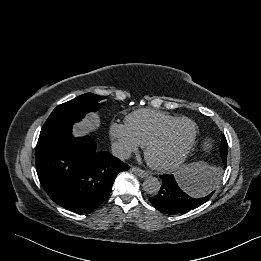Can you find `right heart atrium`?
<instances>
[{
    "label": "right heart atrium",
    "instance_id": "obj_1",
    "mask_svg": "<svg viewBox=\"0 0 261 261\" xmlns=\"http://www.w3.org/2000/svg\"><path fill=\"white\" fill-rule=\"evenodd\" d=\"M108 133L112 141L113 149L120 157L129 156L136 152L140 146L125 124L112 122L109 126Z\"/></svg>",
    "mask_w": 261,
    "mask_h": 261
}]
</instances>
